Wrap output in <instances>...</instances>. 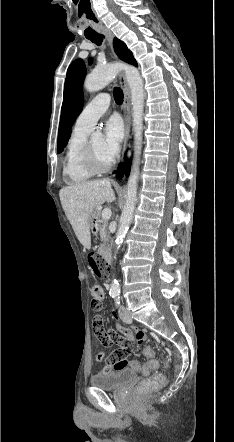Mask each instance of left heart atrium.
<instances>
[{
    "label": "left heart atrium",
    "mask_w": 234,
    "mask_h": 442,
    "mask_svg": "<svg viewBox=\"0 0 234 442\" xmlns=\"http://www.w3.org/2000/svg\"><path fill=\"white\" fill-rule=\"evenodd\" d=\"M104 151L112 159L119 151L124 138V124L118 115H112L104 125Z\"/></svg>",
    "instance_id": "obj_1"
}]
</instances>
